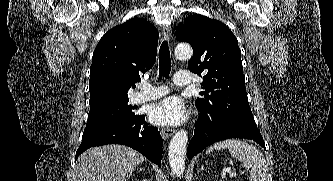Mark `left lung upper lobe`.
Listing matches in <instances>:
<instances>
[{
    "instance_id": "obj_1",
    "label": "left lung upper lobe",
    "mask_w": 333,
    "mask_h": 181,
    "mask_svg": "<svg viewBox=\"0 0 333 181\" xmlns=\"http://www.w3.org/2000/svg\"><path fill=\"white\" fill-rule=\"evenodd\" d=\"M176 38L188 42L193 57L188 68L203 74L198 109L225 111L255 123L246 93L241 51L237 38L222 22L195 14L180 24Z\"/></svg>"
}]
</instances>
